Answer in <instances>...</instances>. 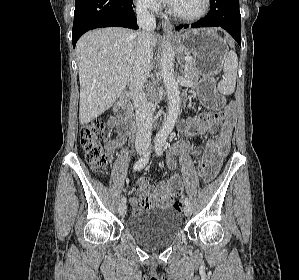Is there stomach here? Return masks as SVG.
<instances>
[{
    "instance_id": "obj_1",
    "label": "stomach",
    "mask_w": 299,
    "mask_h": 280,
    "mask_svg": "<svg viewBox=\"0 0 299 280\" xmlns=\"http://www.w3.org/2000/svg\"><path fill=\"white\" fill-rule=\"evenodd\" d=\"M178 45L192 53L199 74L204 78L197 89L202 101L211 108L220 105L212 77L220 72L228 54V44L214 29H190L176 36Z\"/></svg>"
}]
</instances>
